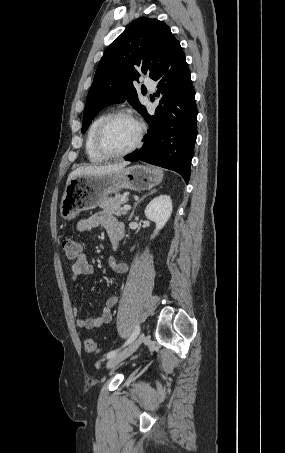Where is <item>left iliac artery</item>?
<instances>
[{"label":"left iliac artery","mask_w":285,"mask_h":453,"mask_svg":"<svg viewBox=\"0 0 285 453\" xmlns=\"http://www.w3.org/2000/svg\"><path fill=\"white\" fill-rule=\"evenodd\" d=\"M139 332H140V326L137 325L136 328H135V330L133 331L132 335L130 336V338L123 344V346H122L121 348H124V347H126L127 345L131 344V343L137 338ZM121 348L116 349V350H113V351H110L109 353H107L106 357H107L108 359H110V358L113 357L115 354H117V352H118L119 350H121Z\"/></svg>","instance_id":"44dca946"}]
</instances>
